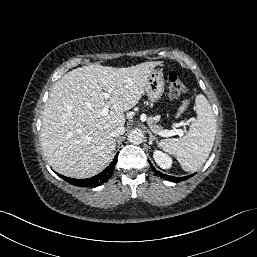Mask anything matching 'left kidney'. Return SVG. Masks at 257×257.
<instances>
[{"label":"left kidney","instance_id":"left-kidney-1","mask_svg":"<svg viewBox=\"0 0 257 257\" xmlns=\"http://www.w3.org/2000/svg\"><path fill=\"white\" fill-rule=\"evenodd\" d=\"M153 158L162 169H169L172 165V159L159 150L154 151Z\"/></svg>","mask_w":257,"mask_h":257}]
</instances>
